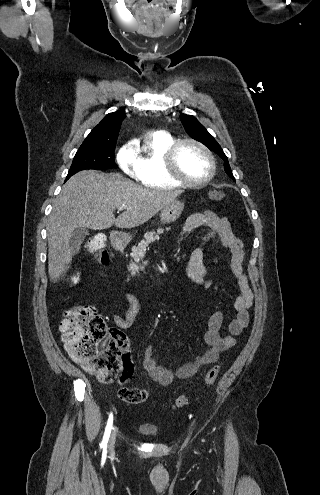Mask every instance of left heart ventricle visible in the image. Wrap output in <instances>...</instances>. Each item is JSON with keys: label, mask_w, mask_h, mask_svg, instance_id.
Here are the masks:
<instances>
[{"label": "left heart ventricle", "mask_w": 320, "mask_h": 495, "mask_svg": "<svg viewBox=\"0 0 320 495\" xmlns=\"http://www.w3.org/2000/svg\"><path fill=\"white\" fill-rule=\"evenodd\" d=\"M177 162L181 173L192 180L206 177L210 170L206 155L191 144H186L180 149Z\"/></svg>", "instance_id": "1"}]
</instances>
